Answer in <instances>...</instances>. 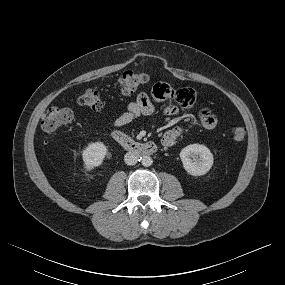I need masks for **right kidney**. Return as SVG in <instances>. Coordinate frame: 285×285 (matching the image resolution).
Returning <instances> with one entry per match:
<instances>
[{"label": "right kidney", "mask_w": 285, "mask_h": 285, "mask_svg": "<svg viewBox=\"0 0 285 285\" xmlns=\"http://www.w3.org/2000/svg\"><path fill=\"white\" fill-rule=\"evenodd\" d=\"M107 154L106 146L101 142L90 143L82 153L84 168L87 171L94 169L102 164Z\"/></svg>", "instance_id": "1"}]
</instances>
